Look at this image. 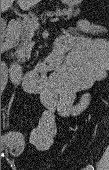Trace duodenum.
I'll return each instance as SVG.
<instances>
[{"mask_svg": "<svg viewBox=\"0 0 109 170\" xmlns=\"http://www.w3.org/2000/svg\"><path fill=\"white\" fill-rule=\"evenodd\" d=\"M9 47V42L4 44V48ZM70 49V44L66 39H61L57 43V52H65ZM55 60L50 59L47 62L39 64L26 78V85L32 91L46 90L49 86L48 82L44 79V74L51 68L52 62ZM13 75H16V71H13Z\"/></svg>", "mask_w": 109, "mask_h": 170, "instance_id": "410a0bca", "label": "duodenum"}]
</instances>
